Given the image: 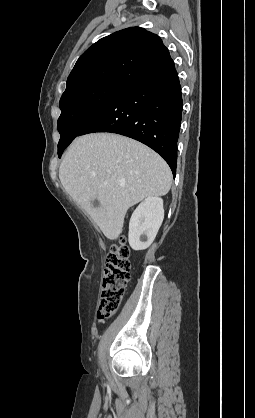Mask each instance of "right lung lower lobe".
Returning <instances> with one entry per match:
<instances>
[{
	"label": "right lung lower lobe",
	"instance_id": "98d812e1",
	"mask_svg": "<svg viewBox=\"0 0 255 418\" xmlns=\"http://www.w3.org/2000/svg\"><path fill=\"white\" fill-rule=\"evenodd\" d=\"M182 108L181 86L172 65L127 85L78 136L111 132L138 140L160 154L175 176Z\"/></svg>",
	"mask_w": 255,
	"mask_h": 418
}]
</instances>
